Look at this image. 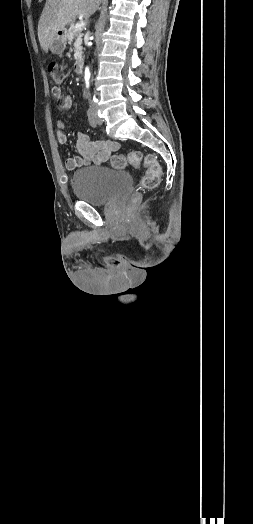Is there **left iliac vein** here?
<instances>
[{
    "instance_id": "1",
    "label": "left iliac vein",
    "mask_w": 253,
    "mask_h": 524,
    "mask_svg": "<svg viewBox=\"0 0 253 524\" xmlns=\"http://www.w3.org/2000/svg\"><path fill=\"white\" fill-rule=\"evenodd\" d=\"M93 112L95 114V118H96V121L99 125H101L103 123V120L97 115V111H96V108L94 107L93 108Z\"/></svg>"
}]
</instances>
